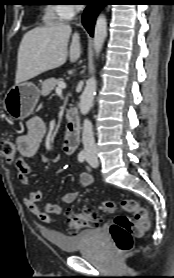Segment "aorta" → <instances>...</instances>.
Returning a JSON list of instances; mask_svg holds the SVG:
<instances>
[{
    "label": "aorta",
    "mask_w": 174,
    "mask_h": 278,
    "mask_svg": "<svg viewBox=\"0 0 174 278\" xmlns=\"http://www.w3.org/2000/svg\"><path fill=\"white\" fill-rule=\"evenodd\" d=\"M107 36V20L105 15L100 14L96 20L95 29H94V51L96 56L99 55V53L102 50L105 38ZM96 92V79L95 77H90L87 82L85 89L81 95L80 99V112L83 115H86L92 105L94 100V95Z\"/></svg>",
    "instance_id": "762f6f07"
}]
</instances>
